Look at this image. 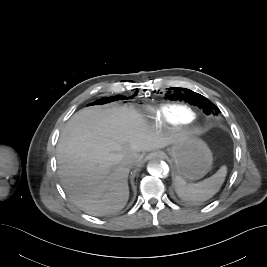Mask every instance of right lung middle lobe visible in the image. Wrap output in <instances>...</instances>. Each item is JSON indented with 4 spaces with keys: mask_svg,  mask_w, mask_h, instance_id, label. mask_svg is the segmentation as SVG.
I'll list each match as a JSON object with an SVG mask.
<instances>
[{
    "mask_svg": "<svg viewBox=\"0 0 267 267\" xmlns=\"http://www.w3.org/2000/svg\"><path fill=\"white\" fill-rule=\"evenodd\" d=\"M123 97L121 96H114V97H109V98H102L101 100L96 101L94 104H103L107 102H111L114 100L122 99Z\"/></svg>",
    "mask_w": 267,
    "mask_h": 267,
    "instance_id": "1",
    "label": "right lung middle lobe"
}]
</instances>
